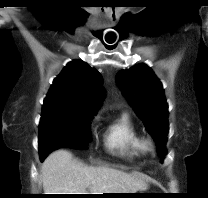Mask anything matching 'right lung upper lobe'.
<instances>
[{"instance_id": "obj_1", "label": "right lung upper lobe", "mask_w": 208, "mask_h": 198, "mask_svg": "<svg viewBox=\"0 0 208 198\" xmlns=\"http://www.w3.org/2000/svg\"><path fill=\"white\" fill-rule=\"evenodd\" d=\"M103 96L101 74L82 60H73L54 79L42 112L67 110L95 115Z\"/></svg>"}]
</instances>
